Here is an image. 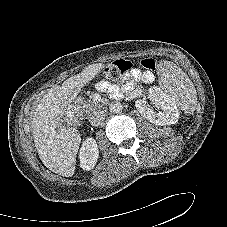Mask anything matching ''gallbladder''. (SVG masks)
<instances>
[{"mask_svg":"<svg viewBox=\"0 0 227 227\" xmlns=\"http://www.w3.org/2000/svg\"><path fill=\"white\" fill-rule=\"evenodd\" d=\"M61 124L62 125H66L67 124L66 120H64L63 122H61Z\"/></svg>","mask_w":227,"mask_h":227,"instance_id":"gallbladder-1","label":"gallbladder"}]
</instances>
